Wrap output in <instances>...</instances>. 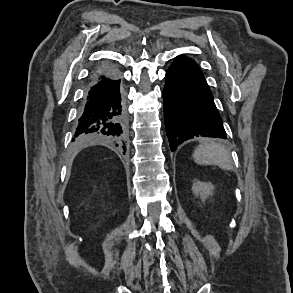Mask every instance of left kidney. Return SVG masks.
<instances>
[{"instance_id":"5707ae66","label":"left kidney","mask_w":293,"mask_h":293,"mask_svg":"<svg viewBox=\"0 0 293 293\" xmlns=\"http://www.w3.org/2000/svg\"><path fill=\"white\" fill-rule=\"evenodd\" d=\"M214 186L211 183L197 181L192 185V192L196 196H200L202 201H205L209 196L213 195Z\"/></svg>"}]
</instances>
